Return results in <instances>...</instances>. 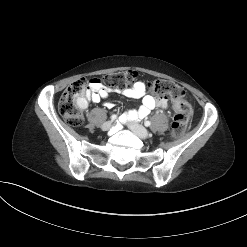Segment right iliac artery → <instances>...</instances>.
Segmentation results:
<instances>
[{
    "label": "right iliac artery",
    "mask_w": 247,
    "mask_h": 247,
    "mask_svg": "<svg viewBox=\"0 0 247 247\" xmlns=\"http://www.w3.org/2000/svg\"><path fill=\"white\" fill-rule=\"evenodd\" d=\"M116 118H117V115H115V114L111 116L112 120H115Z\"/></svg>",
    "instance_id": "1"
}]
</instances>
